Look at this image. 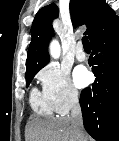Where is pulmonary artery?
Listing matches in <instances>:
<instances>
[{
  "label": "pulmonary artery",
  "instance_id": "pulmonary-artery-1",
  "mask_svg": "<svg viewBox=\"0 0 119 141\" xmlns=\"http://www.w3.org/2000/svg\"><path fill=\"white\" fill-rule=\"evenodd\" d=\"M75 56L77 60L84 61L87 59V55L83 49V45L81 43H78L75 49Z\"/></svg>",
  "mask_w": 119,
  "mask_h": 141
}]
</instances>
